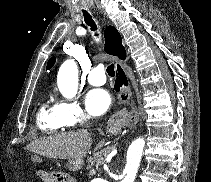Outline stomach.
Wrapping results in <instances>:
<instances>
[{"label": "stomach", "instance_id": "stomach-1", "mask_svg": "<svg viewBox=\"0 0 211 182\" xmlns=\"http://www.w3.org/2000/svg\"><path fill=\"white\" fill-rule=\"evenodd\" d=\"M84 160L81 158L69 159L67 167L70 171H78L83 166Z\"/></svg>", "mask_w": 211, "mask_h": 182}]
</instances>
